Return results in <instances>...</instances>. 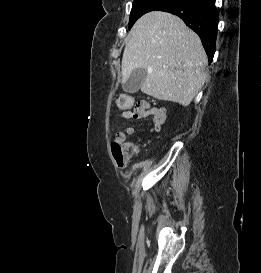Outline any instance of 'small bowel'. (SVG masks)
<instances>
[{
	"label": "small bowel",
	"instance_id": "c3829d8e",
	"mask_svg": "<svg viewBox=\"0 0 261 273\" xmlns=\"http://www.w3.org/2000/svg\"><path fill=\"white\" fill-rule=\"evenodd\" d=\"M144 103V115L139 119H144L146 117H152L153 127L151 128L152 132H158L165 122L166 119V111L163 107H152L150 108L146 102ZM122 117L124 119L130 120L133 119V112L130 109H123ZM125 135H132L134 133V128L128 126L124 131ZM139 153V149L137 146H133L131 151V155H136Z\"/></svg>",
	"mask_w": 261,
	"mask_h": 273
}]
</instances>
